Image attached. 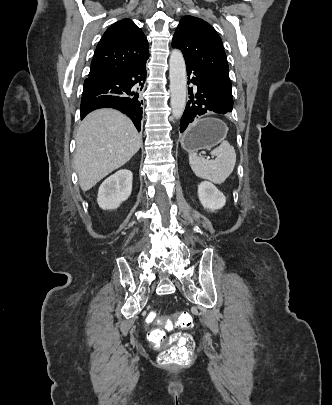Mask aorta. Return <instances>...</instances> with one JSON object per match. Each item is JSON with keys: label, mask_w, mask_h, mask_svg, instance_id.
Instances as JSON below:
<instances>
[{"label": "aorta", "mask_w": 332, "mask_h": 405, "mask_svg": "<svg viewBox=\"0 0 332 405\" xmlns=\"http://www.w3.org/2000/svg\"><path fill=\"white\" fill-rule=\"evenodd\" d=\"M169 77L171 91V109L174 119H180L186 105V65L183 54L173 49L169 59Z\"/></svg>", "instance_id": "1"}]
</instances>
